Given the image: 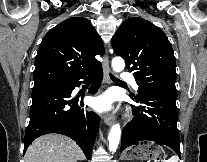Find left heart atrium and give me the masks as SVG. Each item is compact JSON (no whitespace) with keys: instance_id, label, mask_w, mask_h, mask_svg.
<instances>
[{"instance_id":"left-heart-atrium-1","label":"left heart atrium","mask_w":207,"mask_h":162,"mask_svg":"<svg viewBox=\"0 0 207 162\" xmlns=\"http://www.w3.org/2000/svg\"><path fill=\"white\" fill-rule=\"evenodd\" d=\"M92 107L101 113L110 112L114 107V98L111 92H106L91 101Z\"/></svg>"}]
</instances>
